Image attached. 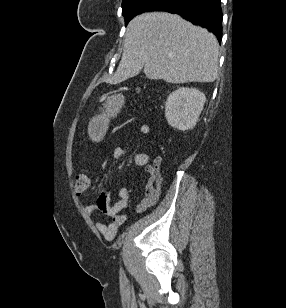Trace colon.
<instances>
[{"instance_id":"colon-1","label":"colon","mask_w":286,"mask_h":308,"mask_svg":"<svg viewBox=\"0 0 286 308\" xmlns=\"http://www.w3.org/2000/svg\"><path fill=\"white\" fill-rule=\"evenodd\" d=\"M92 186L91 178L86 174H77L75 177L74 189L77 193H83L89 190Z\"/></svg>"}]
</instances>
